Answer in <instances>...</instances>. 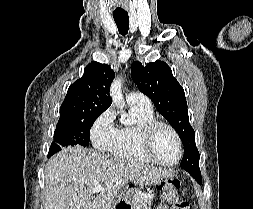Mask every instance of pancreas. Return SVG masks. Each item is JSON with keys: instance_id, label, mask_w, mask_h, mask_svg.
Returning <instances> with one entry per match:
<instances>
[{"instance_id": "pancreas-1", "label": "pancreas", "mask_w": 253, "mask_h": 209, "mask_svg": "<svg viewBox=\"0 0 253 209\" xmlns=\"http://www.w3.org/2000/svg\"><path fill=\"white\" fill-rule=\"evenodd\" d=\"M152 197L138 196L133 199V209H151Z\"/></svg>"}]
</instances>
